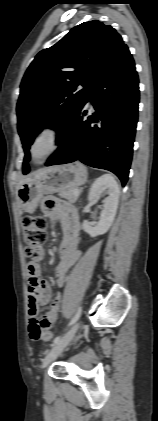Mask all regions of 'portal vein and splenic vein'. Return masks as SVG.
<instances>
[{
	"mask_svg": "<svg viewBox=\"0 0 158 421\" xmlns=\"http://www.w3.org/2000/svg\"><path fill=\"white\" fill-rule=\"evenodd\" d=\"M79 194H80V191L79 190H74V195H76V196H79Z\"/></svg>",
	"mask_w": 158,
	"mask_h": 421,
	"instance_id": "portal-vein-and-splenic-vein-1",
	"label": "portal vein and splenic vein"
}]
</instances>
